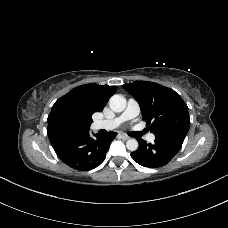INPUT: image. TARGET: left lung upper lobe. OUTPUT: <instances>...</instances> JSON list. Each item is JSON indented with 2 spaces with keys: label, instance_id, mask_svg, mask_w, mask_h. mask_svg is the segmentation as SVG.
Returning a JSON list of instances; mask_svg holds the SVG:
<instances>
[{
  "label": "left lung upper lobe",
  "instance_id": "5c2ea615",
  "mask_svg": "<svg viewBox=\"0 0 228 228\" xmlns=\"http://www.w3.org/2000/svg\"><path fill=\"white\" fill-rule=\"evenodd\" d=\"M123 88L138 101L143 120L155 136H186L190 126L188 107L178 93L146 81L124 84Z\"/></svg>",
  "mask_w": 228,
  "mask_h": 228
}]
</instances>
